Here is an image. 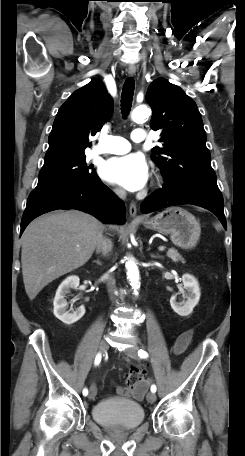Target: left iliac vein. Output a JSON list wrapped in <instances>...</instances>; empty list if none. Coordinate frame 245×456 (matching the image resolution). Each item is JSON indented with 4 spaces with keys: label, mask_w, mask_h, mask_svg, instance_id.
I'll return each instance as SVG.
<instances>
[{
    "label": "left iliac vein",
    "mask_w": 245,
    "mask_h": 456,
    "mask_svg": "<svg viewBox=\"0 0 245 456\" xmlns=\"http://www.w3.org/2000/svg\"><path fill=\"white\" fill-rule=\"evenodd\" d=\"M137 352H138V347L136 345H133L132 347H130L126 350V355L132 359H138ZM146 398H147L148 402L154 403L156 401V394L154 392H148Z\"/></svg>",
    "instance_id": "4c4485c4"
}]
</instances>
